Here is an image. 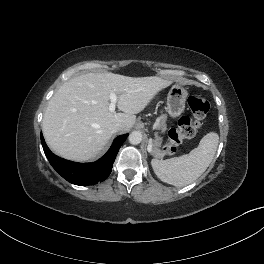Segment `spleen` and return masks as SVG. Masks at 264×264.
I'll return each instance as SVG.
<instances>
[{
	"label": "spleen",
	"mask_w": 264,
	"mask_h": 264,
	"mask_svg": "<svg viewBox=\"0 0 264 264\" xmlns=\"http://www.w3.org/2000/svg\"><path fill=\"white\" fill-rule=\"evenodd\" d=\"M218 142L217 133H207L199 146L189 154L167 160L153 159L151 161L153 171L161 181L176 187H184L206 171L216 153Z\"/></svg>",
	"instance_id": "1"
}]
</instances>
